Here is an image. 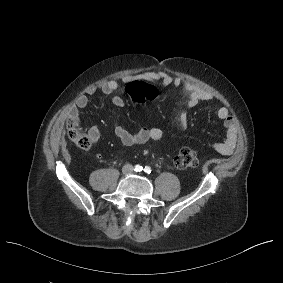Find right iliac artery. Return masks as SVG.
<instances>
[{"label":"right iliac artery","instance_id":"right-iliac-artery-1","mask_svg":"<svg viewBox=\"0 0 283 283\" xmlns=\"http://www.w3.org/2000/svg\"><path fill=\"white\" fill-rule=\"evenodd\" d=\"M142 169H143V167H142V166H140V165H136V166H135V168H134V171H136V172H140V171H142Z\"/></svg>","mask_w":283,"mask_h":283}]
</instances>
